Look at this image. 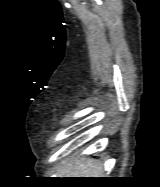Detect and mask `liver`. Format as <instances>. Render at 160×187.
<instances>
[{"label": "liver", "mask_w": 160, "mask_h": 187, "mask_svg": "<svg viewBox=\"0 0 160 187\" xmlns=\"http://www.w3.org/2000/svg\"><path fill=\"white\" fill-rule=\"evenodd\" d=\"M62 176L66 178H101L102 166L93 159H83L74 164H67L63 169Z\"/></svg>", "instance_id": "1"}]
</instances>
